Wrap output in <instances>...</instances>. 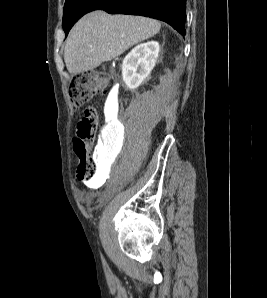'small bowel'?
<instances>
[{
	"label": "small bowel",
	"mask_w": 267,
	"mask_h": 298,
	"mask_svg": "<svg viewBox=\"0 0 267 298\" xmlns=\"http://www.w3.org/2000/svg\"><path fill=\"white\" fill-rule=\"evenodd\" d=\"M107 138L103 141L102 143V147H106L107 146ZM78 197L80 199V201H82L83 203H86L88 205L92 204V202L94 201V199L96 198L95 193L93 192H88V193H83V192H78Z\"/></svg>",
	"instance_id": "obj_1"
}]
</instances>
